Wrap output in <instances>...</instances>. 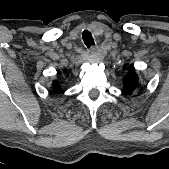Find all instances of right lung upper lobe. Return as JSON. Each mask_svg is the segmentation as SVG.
Wrapping results in <instances>:
<instances>
[{
    "instance_id": "obj_1",
    "label": "right lung upper lobe",
    "mask_w": 169,
    "mask_h": 169,
    "mask_svg": "<svg viewBox=\"0 0 169 169\" xmlns=\"http://www.w3.org/2000/svg\"><path fill=\"white\" fill-rule=\"evenodd\" d=\"M53 89L54 91L58 92L59 90H61V86L57 81L53 82Z\"/></svg>"
}]
</instances>
